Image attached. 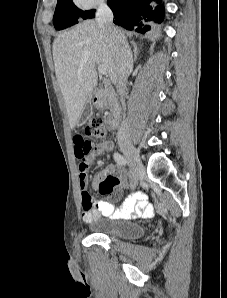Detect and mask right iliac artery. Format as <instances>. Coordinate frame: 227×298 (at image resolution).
Returning a JSON list of instances; mask_svg holds the SVG:
<instances>
[{
	"label": "right iliac artery",
	"instance_id": "82829eb1",
	"mask_svg": "<svg viewBox=\"0 0 227 298\" xmlns=\"http://www.w3.org/2000/svg\"><path fill=\"white\" fill-rule=\"evenodd\" d=\"M114 160L117 162V164L121 166H126L127 164V160L125 159V157L119 154L118 152L114 153Z\"/></svg>",
	"mask_w": 227,
	"mask_h": 298
}]
</instances>
